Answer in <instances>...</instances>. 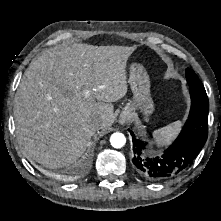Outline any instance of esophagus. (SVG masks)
Wrapping results in <instances>:
<instances>
[{
	"label": "esophagus",
	"instance_id": "1",
	"mask_svg": "<svg viewBox=\"0 0 221 221\" xmlns=\"http://www.w3.org/2000/svg\"><path fill=\"white\" fill-rule=\"evenodd\" d=\"M126 122V119L125 118H122L121 119V123H125Z\"/></svg>",
	"mask_w": 221,
	"mask_h": 221
}]
</instances>
